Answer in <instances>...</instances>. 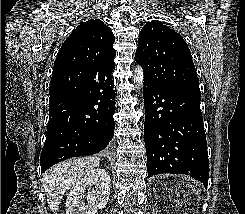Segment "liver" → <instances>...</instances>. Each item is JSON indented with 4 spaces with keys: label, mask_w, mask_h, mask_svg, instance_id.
<instances>
[{
    "label": "liver",
    "mask_w": 245,
    "mask_h": 214,
    "mask_svg": "<svg viewBox=\"0 0 245 214\" xmlns=\"http://www.w3.org/2000/svg\"><path fill=\"white\" fill-rule=\"evenodd\" d=\"M99 157L90 156L63 161L43 174L42 182L50 210L55 214L64 193L99 164Z\"/></svg>",
    "instance_id": "1"
}]
</instances>
